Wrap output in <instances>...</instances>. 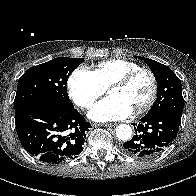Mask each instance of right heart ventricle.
<instances>
[{
	"label": "right heart ventricle",
	"mask_w": 196,
	"mask_h": 196,
	"mask_svg": "<svg viewBox=\"0 0 196 196\" xmlns=\"http://www.w3.org/2000/svg\"><path fill=\"white\" fill-rule=\"evenodd\" d=\"M140 67L138 63L130 60L110 59L100 62L93 72L100 84L107 88L116 79Z\"/></svg>",
	"instance_id": "1"
}]
</instances>
